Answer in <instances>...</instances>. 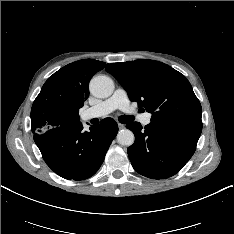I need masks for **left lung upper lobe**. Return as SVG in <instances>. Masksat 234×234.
Returning a JSON list of instances; mask_svg holds the SVG:
<instances>
[{"instance_id": "left-lung-upper-lobe-1", "label": "left lung upper lobe", "mask_w": 234, "mask_h": 234, "mask_svg": "<svg viewBox=\"0 0 234 234\" xmlns=\"http://www.w3.org/2000/svg\"><path fill=\"white\" fill-rule=\"evenodd\" d=\"M105 70L118 80L131 101L152 114L151 121L201 119V105L192 86L172 67L154 60H135L111 63Z\"/></svg>"}]
</instances>
